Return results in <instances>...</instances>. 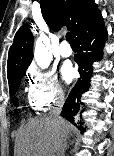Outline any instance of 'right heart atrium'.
I'll use <instances>...</instances> for the list:
<instances>
[{
  "instance_id": "d8ad5b80",
  "label": "right heart atrium",
  "mask_w": 114,
  "mask_h": 156,
  "mask_svg": "<svg viewBox=\"0 0 114 156\" xmlns=\"http://www.w3.org/2000/svg\"><path fill=\"white\" fill-rule=\"evenodd\" d=\"M28 98L41 111L61 104L65 99V92L56 73L52 70L31 68L28 71Z\"/></svg>"
}]
</instances>
